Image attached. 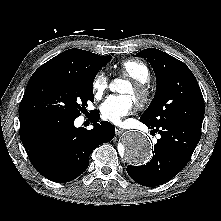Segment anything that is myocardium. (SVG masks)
I'll return each mask as SVG.
<instances>
[{
    "instance_id": "myocardium-1",
    "label": "myocardium",
    "mask_w": 221,
    "mask_h": 221,
    "mask_svg": "<svg viewBox=\"0 0 221 221\" xmlns=\"http://www.w3.org/2000/svg\"><path fill=\"white\" fill-rule=\"evenodd\" d=\"M132 88L134 91V102L135 104L142 108L150 101V90L146 83H140L134 81L132 83Z\"/></svg>"
}]
</instances>
